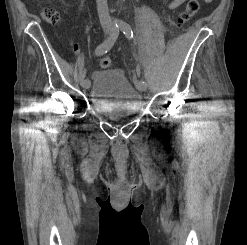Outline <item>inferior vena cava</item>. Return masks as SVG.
<instances>
[{"instance_id": "602c4592", "label": "inferior vena cava", "mask_w": 247, "mask_h": 245, "mask_svg": "<svg viewBox=\"0 0 247 245\" xmlns=\"http://www.w3.org/2000/svg\"><path fill=\"white\" fill-rule=\"evenodd\" d=\"M98 16L102 27H109L111 19L109 15L107 0H96Z\"/></svg>"}]
</instances>
